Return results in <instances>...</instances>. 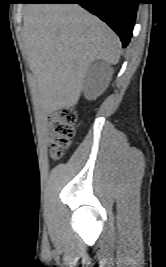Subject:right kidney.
Masks as SVG:
<instances>
[{
  "mask_svg": "<svg viewBox=\"0 0 166 267\" xmlns=\"http://www.w3.org/2000/svg\"><path fill=\"white\" fill-rule=\"evenodd\" d=\"M102 72L95 70L88 75L85 83V96L88 99L97 97L101 92Z\"/></svg>",
  "mask_w": 166,
  "mask_h": 267,
  "instance_id": "obj_1",
  "label": "right kidney"
}]
</instances>
